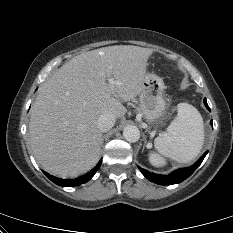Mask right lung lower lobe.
<instances>
[{"instance_id":"right-lung-lower-lobe-1","label":"right lung lower lobe","mask_w":233,"mask_h":233,"mask_svg":"<svg viewBox=\"0 0 233 233\" xmlns=\"http://www.w3.org/2000/svg\"><path fill=\"white\" fill-rule=\"evenodd\" d=\"M101 165V161L100 163L94 168L92 169L90 172H88L87 174L85 175H82L80 177H78L77 179L75 180H70V179H60V178H57V177H54L52 175H49L48 173L44 172L43 173L52 181L54 182L55 184L59 185V186H64V187H68V186H78L80 184H83V183H86L87 181H89L93 176L94 174L97 172V170L99 169Z\"/></svg>"}]
</instances>
